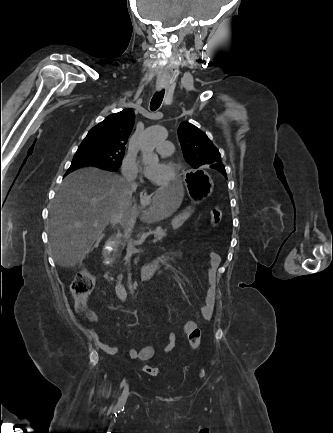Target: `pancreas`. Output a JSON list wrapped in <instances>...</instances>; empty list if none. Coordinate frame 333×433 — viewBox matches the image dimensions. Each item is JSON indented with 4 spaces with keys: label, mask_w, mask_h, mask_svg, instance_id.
<instances>
[{
    "label": "pancreas",
    "mask_w": 333,
    "mask_h": 433,
    "mask_svg": "<svg viewBox=\"0 0 333 433\" xmlns=\"http://www.w3.org/2000/svg\"><path fill=\"white\" fill-rule=\"evenodd\" d=\"M155 237L157 240L162 241L163 238L167 235V230L161 228L160 226L156 228V230L153 231Z\"/></svg>",
    "instance_id": "cf45deb5"
}]
</instances>
